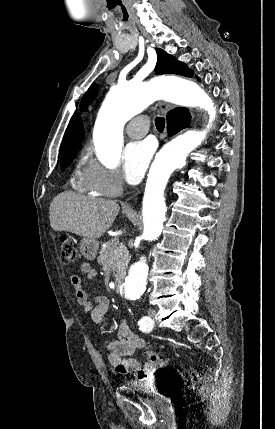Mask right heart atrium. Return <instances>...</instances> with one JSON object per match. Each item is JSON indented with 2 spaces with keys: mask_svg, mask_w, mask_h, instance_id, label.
I'll use <instances>...</instances> for the list:
<instances>
[{
  "mask_svg": "<svg viewBox=\"0 0 275 429\" xmlns=\"http://www.w3.org/2000/svg\"><path fill=\"white\" fill-rule=\"evenodd\" d=\"M85 178L91 189L103 196H117L123 189L120 174L93 159H89L85 165Z\"/></svg>",
  "mask_w": 275,
  "mask_h": 429,
  "instance_id": "1",
  "label": "right heart atrium"
}]
</instances>
